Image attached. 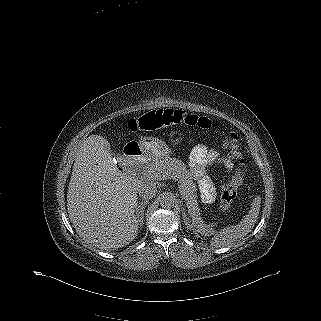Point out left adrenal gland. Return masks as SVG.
Returning a JSON list of instances; mask_svg holds the SVG:
<instances>
[{
  "mask_svg": "<svg viewBox=\"0 0 321 321\" xmlns=\"http://www.w3.org/2000/svg\"><path fill=\"white\" fill-rule=\"evenodd\" d=\"M186 216H187V214L184 212V213H183L184 222H185V224L187 225L188 228H191L190 225L188 224V220H187V217H186Z\"/></svg>",
  "mask_w": 321,
  "mask_h": 321,
  "instance_id": "a2214340",
  "label": "left adrenal gland"
}]
</instances>
